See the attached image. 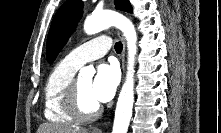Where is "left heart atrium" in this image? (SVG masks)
<instances>
[{"label":"left heart atrium","mask_w":221,"mask_h":133,"mask_svg":"<svg viewBox=\"0 0 221 133\" xmlns=\"http://www.w3.org/2000/svg\"><path fill=\"white\" fill-rule=\"evenodd\" d=\"M119 83V71L114 64H100L92 81L91 95L98 103H106L114 96Z\"/></svg>","instance_id":"1"}]
</instances>
